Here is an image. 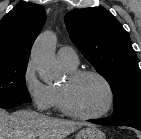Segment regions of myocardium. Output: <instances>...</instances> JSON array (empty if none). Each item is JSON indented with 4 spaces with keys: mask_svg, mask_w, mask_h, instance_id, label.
<instances>
[{
    "mask_svg": "<svg viewBox=\"0 0 141 139\" xmlns=\"http://www.w3.org/2000/svg\"><path fill=\"white\" fill-rule=\"evenodd\" d=\"M85 76H94L98 78L99 80L102 81V83L105 85L107 89V93H108L107 105L101 112L97 114L80 113L72 107L69 100V96H68L69 86ZM67 80H68V84L66 86L59 87L60 108L65 114L82 120H97L104 118L110 113V111L114 106L115 93L110 81L102 73L92 69H80V70L69 72L67 75Z\"/></svg>",
    "mask_w": 141,
    "mask_h": 139,
    "instance_id": "myocardium-1",
    "label": "myocardium"
}]
</instances>
